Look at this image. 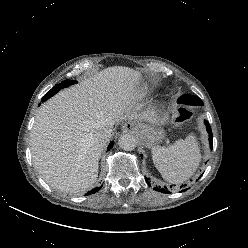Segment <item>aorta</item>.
Returning <instances> with one entry per match:
<instances>
[{
	"label": "aorta",
	"instance_id": "aorta-1",
	"mask_svg": "<svg viewBox=\"0 0 248 248\" xmlns=\"http://www.w3.org/2000/svg\"><path fill=\"white\" fill-rule=\"evenodd\" d=\"M119 147L124 151H132L137 145V140L133 135L123 134L118 140Z\"/></svg>",
	"mask_w": 248,
	"mask_h": 248
}]
</instances>
